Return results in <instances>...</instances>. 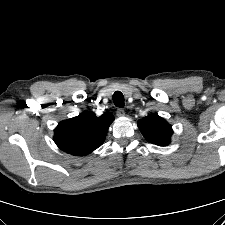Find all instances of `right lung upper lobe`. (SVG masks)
<instances>
[{"mask_svg":"<svg viewBox=\"0 0 225 225\" xmlns=\"http://www.w3.org/2000/svg\"><path fill=\"white\" fill-rule=\"evenodd\" d=\"M113 120L111 113L97 117L95 113L85 111L60 122L55 128L54 141L61 150L71 155L85 156L103 144Z\"/></svg>","mask_w":225,"mask_h":225,"instance_id":"right-lung-upper-lobe-1","label":"right lung upper lobe"}]
</instances>
